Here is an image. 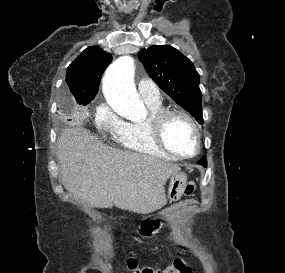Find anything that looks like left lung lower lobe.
Segmentation results:
<instances>
[{
    "label": "left lung lower lobe",
    "instance_id": "1",
    "mask_svg": "<svg viewBox=\"0 0 285 273\" xmlns=\"http://www.w3.org/2000/svg\"><path fill=\"white\" fill-rule=\"evenodd\" d=\"M199 164L203 165L204 167L207 166V161H206V158L203 157L200 161H199Z\"/></svg>",
    "mask_w": 285,
    "mask_h": 273
}]
</instances>
